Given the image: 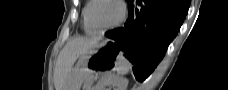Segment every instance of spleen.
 Wrapping results in <instances>:
<instances>
[{"label":"spleen","mask_w":228,"mask_h":90,"mask_svg":"<svg viewBox=\"0 0 228 90\" xmlns=\"http://www.w3.org/2000/svg\"><path fill=\"white\" fill-rule=\"evenodd\" d=\"M131 69V65L122 55L119 56L117 66L115 68L118 75H125Z\"/></svg>","instance_id":"spleen-1"}]
</instances>
